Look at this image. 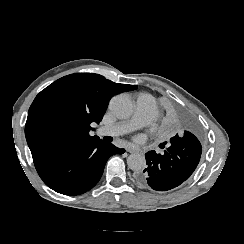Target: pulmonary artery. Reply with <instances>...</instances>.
<instances>
[{
  "label": "pulmonary artery",
  "mask_w": 244,
  "mask_h": 244,
  "mask_svg": "<svg viewBox=\"0 0 244 244\" xmlns=\"http://www.w3.org/2000/svg\"><path fill=\"white\" fill-rule=\"evenodd\" d=\"M157 113L155 97L147 92L140 93L136 98L135 112L131 120L122 121L97 129L96 134L100 136H121L134 132L138 128L149 124Z\"/></svg>",
  "instance_id": "obj_1"
}]
</instances>
